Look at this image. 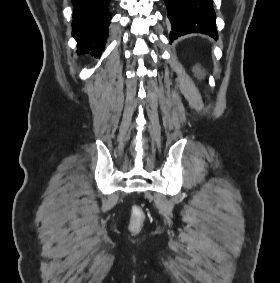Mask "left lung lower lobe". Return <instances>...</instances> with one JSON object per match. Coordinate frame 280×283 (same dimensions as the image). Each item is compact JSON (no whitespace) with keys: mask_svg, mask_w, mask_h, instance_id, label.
<instances>
[{"mask_svg":"<svg viewBox=\"0 0 280 283\" xmlns=\"http://www.w3.org/2000/svg\"><path fill=\"white\" fill-rule=\"evenodd\" d=\"M172 24L170 42L190 33L217 37L212 0H164Z\"/></svg>","mask_w":280,"mask_h":283,"instance_id":"left-lung-lower-lobe-1","label":"left lung lower lobe"}]
</instances>
